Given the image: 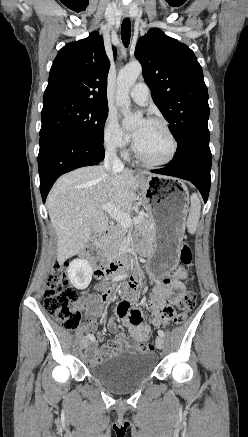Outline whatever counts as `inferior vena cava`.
Wrapping results in <instances>:
<instances>
[{"label": "inferior vena cava", "instance_id": "inferior-vena-cava-1", "mask_svg": "<svg viewBox=\"0 0 248 437\" xmlns=\"http://www.w3.org/2000/svg\"><path fill=\"white\" fill-rule=\"evenodd\" d=\"M104 168L108 171H120L124 169L122 161L116 154V147L113 144H108L105 151Z\"/></svg>", "mask_w": 248, "mask_h": 437}]
</instances>
